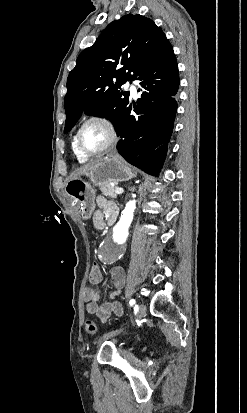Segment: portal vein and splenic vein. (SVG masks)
I'll return each instance as SVG.
<instances>
[{
  "mask_svg": "<svg viewBox=\"0 0 247 413\" xmlns=\"http://www.w3.org/2000/svg\"><path fill=\"white\" fill-rule=\"evenodd\" d=\"M121 192H124L123 188H115V194H121Z\"/></svg>",
  "mask_w": 247,
  "mask_h": 413,
  "instance_id": "obj_1",
  "label": "portal vein and splenic vein"
}]
</instances>
